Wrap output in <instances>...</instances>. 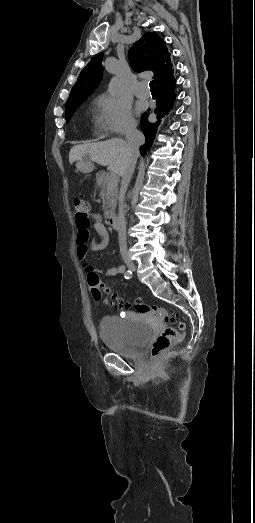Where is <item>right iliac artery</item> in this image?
Listing matches in <instances>:
<instances>
[{
    "label": "right iliac artery",
    "instance_id": "82829eb1",
    "mask_svg": "<svg viewBox=\"0 0 255 523\" xmlns=\"http://www.w3.org/2000/svg\"><path fill=\"white\" fill-rule=\"evenodd\" d=\"M131 277H132V272L129 271V270L126 271V272H125V278H126V279H130Z\"/></svg>",
    "mask_w": 255,
    "mask_h": 523
}]
</instances>
